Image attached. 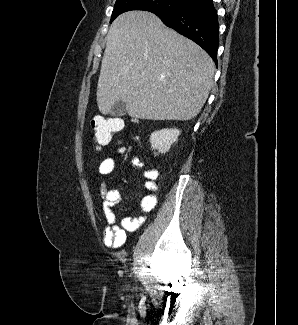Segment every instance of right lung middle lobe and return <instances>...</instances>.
<instances>
[{
    "instance_id": "right-lung-middle-lobe-1",
    "label": "right lung middle lobe",
    "mask_w": 298,
    "mask_h": 325,
    "mask_svg": "<svg viewBox=\"0 0 298 325\" xmlns=\"http://www.w3.org/2000/svg\"><path fill=\"white\" fill-rule=\"evenodd\" d=\"M192 0H117L110 23L121 13L130 10H145L153 13L170 12L188 5Z\"/></svg>"
}]
</instances>
